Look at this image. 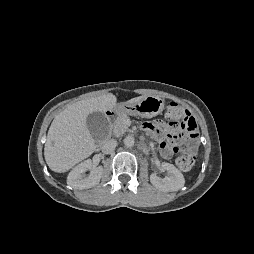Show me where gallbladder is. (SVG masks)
<instances>
[{"mask_svg": "<svg viewBox=\"0 0 254 254\" xmlns=\"http://www.w3.org/2000/svg\"><path fill=\"white\" fill-rule=\"evenodd\" d=\"M87 128L96 142L103 141L109 131V122L103 112H92L86 119Z\"/></svg>", "mask_w": 254, "mask_h": 254, "instance_id": "gallbladder-1", "label": "gallbladder"}]
</instances>
